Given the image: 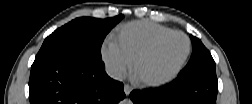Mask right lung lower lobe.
Instances as JSON below:
<instances>
[{
    "label": "right lung lower lobe",
    "mask_w": 252,
    "mask_h": 104,
    "mask_svg": "<svg viewBox=\"0 0 252 104\" xmlns=\"http://www.w3.org/2000/svg\"><path fill=\"white\" fill-rule=\"evenodd\" d=\"M29 97L32 104H117L125 94L101 60L67 52L34 61Z\"/></svg>",
    "instance_id": "1"
}]
</instances>
